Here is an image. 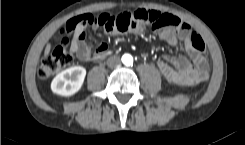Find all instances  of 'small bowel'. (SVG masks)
<instances>
[{
    "instance_id": "small-bowel-1",
    "label": "small bowel",
    "mask_w": 245,
    "mask_h": 145,
    "mask_svg": "<svg viewBox=\"0 0 245 145\" xmlns=\"http://www.w3.org/2000/svg\"><path fill=\"white\" fill-rule=\"evenodd\" d=\"M88 25L83 20L74 27L76 39L73 41V50L76 57L82 62H87L92 57L90 48L82 41L85 28ZM92 26L96 28L95 25ZM136 32L142 33L143 29L137 28ZM155 34L160 40L172 46L183 45L189 56V59L185 56L166 57L165 61L158 62V69L168 82L177 85L194 86L208 79V62L205 56L192 46L190 42V26L187 22H181L178 32H173L167 28H159L156 29ZM106 50L107 44L102 41L96 46L93 54L98 57Z\"/></svg>"
}]
</instances>
